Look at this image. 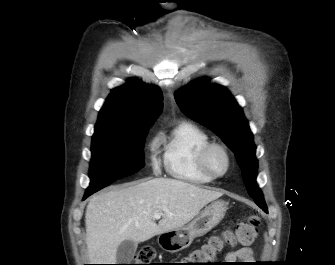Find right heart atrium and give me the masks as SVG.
I'll return each mask as SVG.
<instances>
[{"instance_id":"d8ad5b80","label":"right heart atrium","mask_w":335,"mask_h":265,"mask_svg":"<svg viewBox=\"0 0 335 265\" xmlns=\"http://www.w3.org/2000/svg\"><path fill=\"white\" fill-rule=\"evenodd\" d=\"M154 147V146H153ZM152 147V148H153ZM152 165H153V168L155 169V170H157L158 169V166H159V163H158V160H157V158H156V156L155 155H152Z\"/></svg>"}]
</instances>
